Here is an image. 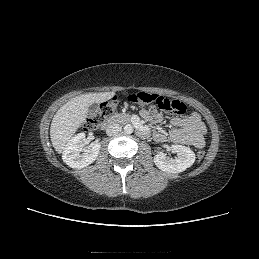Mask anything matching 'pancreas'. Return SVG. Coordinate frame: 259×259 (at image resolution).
<instances>
[{
    "instance_id": "1",
    "label": "pancreas",
    "mask_w": 259,
    "mask_h": 259,
    "mask_svg": "<svg viewBox=\"0 0 259 259\" xmlns=\"http://www.w3.org/2000/svg\"><path fill=\"white\" fill-rule=\"evenodd\" d=\"M130 115L125 114V113H120V114H116L114 116L115 119H117L118 121L121 122H127L129 120Z\"/></svg>"
}]
</instances>
